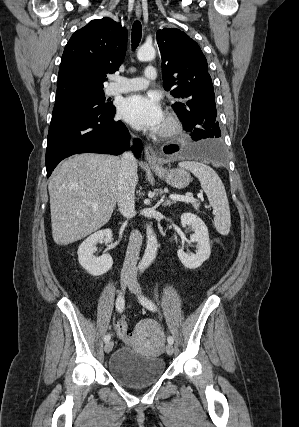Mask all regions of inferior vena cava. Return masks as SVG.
Returning a JSON list of instances; mask_svg holds the SVG:
<instances>
[{"label": "inferior vena cava", "instance_id": "obj_1", "mask_svg": "<svg viewBox=\"0 0 299 427\" xmlns=\"http://www.w3.org/2000/svg\"><path fill=\"white\" fill-rule=\"evenodd\" d=\"M117 202L119 211L126 218L135 215V186L137 179V161L134 155L127 151L120 159V174ZM142 246V235L138 230H133L130 234L129 244L123 264L122 273L124 275H135L136 265Z\"/></svg>", "mask_w": 299, "mask_h": 427}]
</instances>
